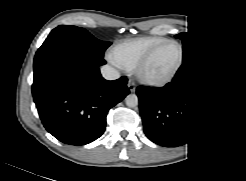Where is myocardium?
<instances>
[{
    "mask_svg": "<svg viewBox=\"0 0 246 181\" xmlns=\"http://www.w3.org/2000/svg\"><path fill=\"white\" fill-rule=\"evenodd\" d=\"M177 45L178 49H179V54H178V58L176 63L174 64V66L165 74V76L163 77L164 80H169L174 73L176 72L177 68L179 67L180 62L182 61V57H183V52H182V48L180 47V45L177 42H167V43H163L161 45H159L158 47H156L150 54H148L143 60H141V62L139 63V69L141 70V72L145 75L148 76L150 75V67L152 65V63L154 62V60L158 57V55L161 53V51L167 47L168 45Z\"/></svg>",
    "mask_w": 246,
    "mask_h": 181,
    "instance_id": "1",
    "label": "myocardium"
}]
</instances>
